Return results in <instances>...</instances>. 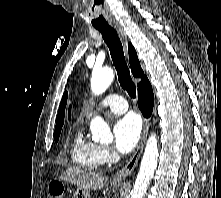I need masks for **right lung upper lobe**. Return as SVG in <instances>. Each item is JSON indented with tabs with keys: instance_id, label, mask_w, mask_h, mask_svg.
Instances as JSON below:
<instances>
[{
	"instance_id": "1",
	"label": "right lung upper lobe",
	"mask_w": 221,
	"mask_h": 198,
	"mask_svg": "<svg viewBox=\"0 0 221 198\" xmlns=\"http://www.w3.org/2000/svg\"><path fill=\"white\" fill-rule=\"evenodd\" d=\"M128 51H129V62H130L131 72L135 77H141L142 78L141 82H142L143 80L147 79V77L144 75L136 51L130 43L128 44ZM66 102H67V92L64 93L59 106L58 115L56 119L55 132L61 131V128L63 126Z\"/></svg>"
}]
</instances>
